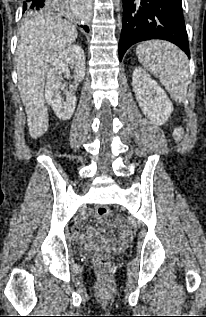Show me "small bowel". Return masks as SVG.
Instances as JSON below:
<instances>
[{
    "instance_id": "obj_1",
    "label": "small bowel",
    "mask_w": 206,
    "mask_h": 317,
    "mask_svg": "<svg viewBox=\"0 0 206 317\" xmlns=\"http://www.w3.org/2000/svg\"><path fill=\"white\" fill-rule=\"evenodd\" d=\"M95 233L97 234L98 238L103 237V234L100 230L95 231L92 227H87L86 231H82L80 228L75 229V234L78 240L83 245H86L91 240V238L94 236ZM130 235H131L130 231L125 226L120 227V239L122 242L128 241L130 238ZM108 238L112 239L113 235L111 233L108 234Z\"/></svg>"
}]
</instances>
